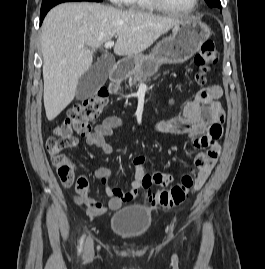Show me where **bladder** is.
Masks as SVG:
<instances>
[{
  "instance_id": "obj_1",
  "label": "bladder",
  "mask_w": 265,
  "mask_h": 269,
  "mask_svg": "<svg viewBox=\"0 0 265 269\" xmlns=\"http://www.w3.org/2000/svg\"><path fill=\"white\" fill-rule=\"evenodd\" d=\"M151 226V210L140 205L126 206L110 218L111 232L127 240H134L146 235Z\"/></svg>"
}]
</instances>
